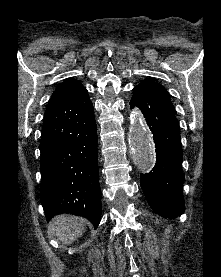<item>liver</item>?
Masks as SVG:
<instances>
[{"mask_svg":"<svg viewBox=\"0 0 221 277\" xmlns=\"http://www.w3.org/2000/svg\"><path fill=\"white\" fill-rule=\"evenodd\" d=\"M48 232L70 245L85 232V220L72 215H58L51 220Z\"/></svg>","mask_w":221,"mask_h":277,"instance_id":"obj_1","label":"liver"}]
</instances>
